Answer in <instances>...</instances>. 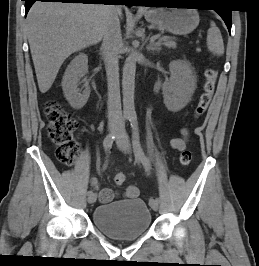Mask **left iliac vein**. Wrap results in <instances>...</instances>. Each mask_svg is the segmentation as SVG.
<instances>
[{"label":"left iliac vein","mask_w":259,"mask_h":266,"mask_svg":"<svg viewBox=\"0 0 259 266\" xmlns=\"http://www.w3.org/2000/svg\"><path fill=\"white\" fill-rule=\"evenodd\" d=\"M116 143L124 153H129L130 142H129L128 134H127L122 122L120 123L119 129H118L117 134H116ZM149 204H150V207L154 211L158 210L159 203H157L156 200L149 202Z\"/></svg>","instance_id":"4c4485c4"}]
</instances>
